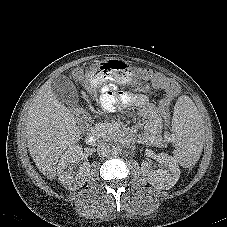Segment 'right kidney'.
Instances as JSON below:
<instances>
[{
	"mask_svg": "<svg viewBox=\"0 0 227 227\" xmlns=\"http://www.w3.org/2000/svg\"><path fill=\"white\" fill-rule=\"evenodd\" d=\"M82 147L79 145L70 146L62 155L57 166L58 179L63 186L71 191L82 187L89 177L90 164L84 162L79 169L74 165L81 160Z\"/></svg>",
	"mask_w": 227,
	"mask_h": 227,
	"instance_id": "1",
	"label": "right kidney"
}]
</instances>
